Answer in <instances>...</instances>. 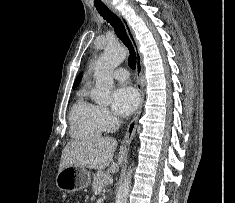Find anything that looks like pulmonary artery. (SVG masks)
Returning <instances> with one entry per match:
<instances>
[{"label": "pulmonary artery", "instance_id": "pulmonary-artery-1", "mask_svg": "<svg viewBox=\"0 0 235 203\" xmlns=\"http://www.w3.org/2000/svg\"><path fill=\"white\" fill-rule=\"evenodd\" d=\"M114 79L118 81H126L129 78V72L125 68H118L113 72Z\"/></svg>", "mask_w": 235, "mask_h": 203}]
</instances>
